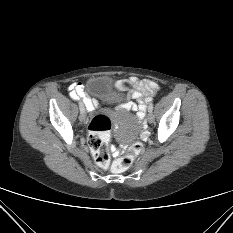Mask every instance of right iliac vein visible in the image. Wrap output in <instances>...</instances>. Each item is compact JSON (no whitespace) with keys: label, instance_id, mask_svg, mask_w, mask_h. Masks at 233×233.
Masks as SVG:
<instances>
[{"label":"right iliac vein","instance_id":"63e3f726","mask_svg":"<svg viewBox=\"0 0 233 233\" xmlns=\"http://www.w3.org/2000/svg\"><path fill=\"white\" fill-rule=\"evenodd\" d=\"M79 107L83 109L82 111H80L79 119L80 121L84 122L86 118V113H85L84 105L81 101L79 102Z\"/></svg>","mask_w":233,"mask_h":233}]
</instances>
